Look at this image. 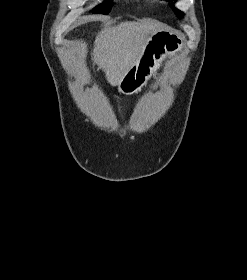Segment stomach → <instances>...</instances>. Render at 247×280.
Returning <instances> with one entry per match:
<instances>
[{
    "label": "stomach",
    "instance_id": "0dacf381",
    "mask_svg": "<svg viewBox=\"0 0 247 280\" xmlns=\"http://www.w3.org/2000/svg\"><path fill=\"white\" fill-rule=\"evenodd\" d=\"M181 45L179 37L167 31H158L150 35L140 59L119 83V92L131 95L140 91L166 56L175 54Z\"/></svg>",
    "mask_w": 247,
    "mask_h": 280
}]
</instances>
